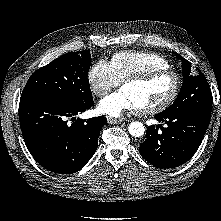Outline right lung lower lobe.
<instances>
[{
	"mask_svg": "<svg viewBox=\"0 0 221 221\" xmlns=\"http://www.w3.org/2000/svg\"><path fill=\"white\" fill-rule=\"evenodd\" d=\"M92 104L93 101L78 104L38 94L20 98L19 120L23 138L41 166L55 173L71 174L90 160L97 149L106 117L82 120L75 116Z\"/></svg>",
	"mask_w": 221,
	"mask_h": 221,
	"instance_id": "right-lung-lower-lobe-1",
	"label": "right lung lower lobe"
}]
</instances>
